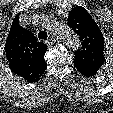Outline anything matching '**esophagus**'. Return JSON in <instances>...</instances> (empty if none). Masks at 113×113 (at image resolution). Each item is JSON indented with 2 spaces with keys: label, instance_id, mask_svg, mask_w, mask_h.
Segmentation results:
<instances>
[{
  "label": "esophagus",
  "instance_id": "obj_1",
  "mask_svg": "<svg viewBox=\"0 0 113 113\" xmlns=\"http://www.w3.org/2000/svg\"><path fill=\"white\" fill-rule=\"evenodd\" d=\"M56 42L55 38L50 37L45 43L49 46L53 45Z\"/></svg>",
  "mask_w": 113,
  "mask_h": 113
}]
</instances>
